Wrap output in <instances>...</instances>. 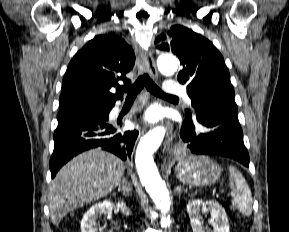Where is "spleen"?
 Wrapping results in <instances>:
<instances>
[{"label":"spleen","mask_w":289,"mask_h":232,"mask_svg":"<svg viewBox=\"0 0 289 232\" xmlns=\"http://www.w3.org/2000/svg\"><path fill=\"white\" fill-rule=\"evenodd\" d=\"M228 170L230 174L229 185L235 193L232 203L243 215L250 216L253 204L251 190L243 175L238 170L233 166H229Z\"/></svg>","instance_id":"obj_1"}]
</instances>
